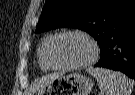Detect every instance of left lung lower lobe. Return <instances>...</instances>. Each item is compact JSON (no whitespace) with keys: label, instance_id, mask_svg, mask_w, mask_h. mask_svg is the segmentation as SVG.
<instances>
[{"label":"left lung lower lobe","instance_id":"left-lung-lower-lobe-1","mask_svg":"<svg viewBox=\"0 0 135 95\" xmlns=\"http://www.w3.org/2000/svg\"><path fill=\"white\" fill-rule=\"evenodd\" d=\"M95 67L121 71L135 80V17L110 34L100 47Z\"/></svg>","mask_w":135,"mask_h":95}]
</instances>
